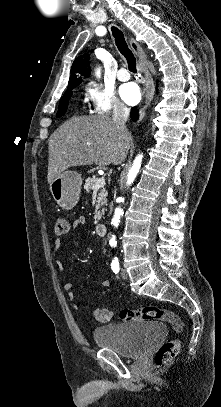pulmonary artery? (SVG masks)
Instances as JSON below:
<instances>
[{"mask_svg":"<svg viewBox=\"0 0 221 407\" xmlns=\"http://www.w3.org/2000/svg\"><path fill=\"white\" fill-rule=\"evenodd\" d=\"M117 78L120 81H128L130 79V75L125 67H122L118 70Z\"/></svg>","mask_w":221,"mask_h":407,"instance_id":"e3ab8cb5","label":"pulmonary artery"}]
</instances>
